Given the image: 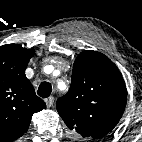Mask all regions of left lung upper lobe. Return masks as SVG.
<instances>
[{
	"mask_svg": "<svg viewBox=\"0 0 142 142\" xmlns=\"http://www.w3.org/2000/svg\"><path fill=\"white\" fill-rule=\"evenodd\" d=\"M127 91L116 65L97 51L76 58L68 93L59 98L57 111L65 124L84 140L109 134L123 115Z\"/></svg>",
	"mask_w": 142,
	"mask_h": 142,
	"instance_id": "left-lung-upper-lobe-1",
	"label": "left lung upper lobe"
}]
</instances>
